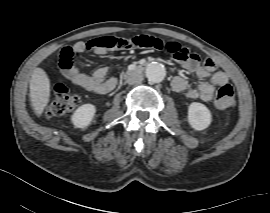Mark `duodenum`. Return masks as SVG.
<instances>
[{
  "label": "duodenum",
  "mask_w": 270,
  "mask_h": 213,
  "mask_svg": "<svg viewBox=\"0 0 270 213\" xmlns=\"http://www.w3.org/2000/svg\"><path fill=\"white\" fill-rule=\"evenodd\" d=\"M145 68H146V65H145V64L138 65V66L134 69V72L140 74V73L144 72Z\"/></svg>",
  "instance_id": "1"
}]
</instances>
